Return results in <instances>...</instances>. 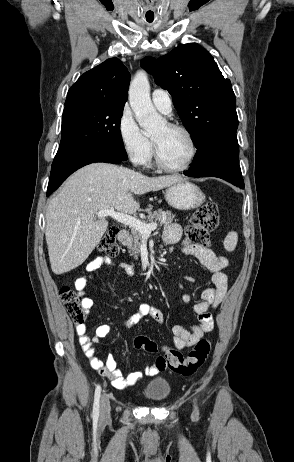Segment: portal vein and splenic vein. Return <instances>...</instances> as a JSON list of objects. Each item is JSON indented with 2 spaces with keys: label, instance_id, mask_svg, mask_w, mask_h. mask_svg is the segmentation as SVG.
<instances>
[{
  "label": "portal vein and splenic vein",
  "instance_id": "obj_1",
  "mask_svg": "<svg viewBox=\"0 0 294 462\" xmlns=\"http://www.w3.org/2000/svg\"><path fill=\"white\" fill-rule=\"evenodd\" d=\"M108 216L124 225L138 230L143 236H149L151 232L157 228V223L145 224L135 217L121 212H116L113 208L101 210L97 214L98 218H105Z\"/></svg>",
  "mask_w": 294,
  "mask_h": 462
}]
</instances>
